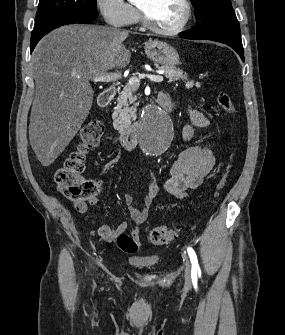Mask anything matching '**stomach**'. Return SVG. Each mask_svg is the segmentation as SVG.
Masks as SVG:
<instances>
[{"label": "stomach", "mask_w": 285, "mask_h": 335, "mask_svg": "<svg viewBox=\"0 0 285 335\" xmlns=\"http://www.w3.org/2000/svg\"><path fill=\"white\" fill-rule=\"evenodd\" d=\"M144 52L147 58L161 64V66H167V68H175L179 64V54L175 48L166 44V42H160V40H152L147 42L144 46Z\"/></svg>", "instance_id": "stomach-1"}]
</instances>
